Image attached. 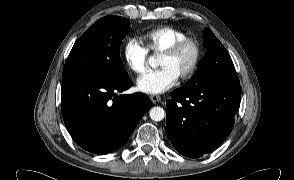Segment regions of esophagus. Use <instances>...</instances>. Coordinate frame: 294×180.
Returning a JSON list of instances; mask_svg holds the SVG:
<instances>
[{
  "mask_svg": "<svg viewBox=\"0 0 294 180\" xmlns=\"http://www.w3.org/2000/svg\"><path fill=\"white\" fill-rule=\"evenodd\" d=\"M150 99L154 104L161 101V97L159 95H151Z\"/></svg>",
  "mask_w": 294,
  "mask_h": 180,
  "instance_id": "1",
  "label": "esophagus"
}]
</instances>
